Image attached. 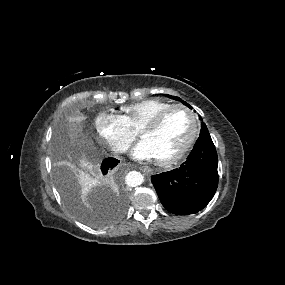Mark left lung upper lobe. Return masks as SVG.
<instances>
[{"instance_id":"left-lung-upper-lobe-1","label":"left lung upper lobe","mask_w":285,"mask_h":285,"mask_svg":"<svg viewBox=\"0 0 285 285\" xmlns=\"http://www.w3.org/2000/svg\"><path fill=\"white\" fill-rule=\"evenodd\" d=\"M166 96L169 97V98H172V99H174V100H179V101L181 100L180 98L175 97V96H170V95H166ZM182 103H183L184 105H186L187 107H189L190 109H192V107H191L188 103H186L185 101H182ZM206 133H209V132H208V129H207L205 123H202V128H201L200 136L203 135V134H206Z\"/></svg>"}]
</instances>
